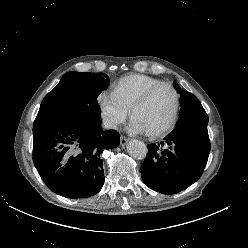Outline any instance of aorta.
Returning a JSON list of instances; mask_svg holds the SVG:
<instances>
[{"instance_id": "obj_1", "label": "aorta", "mask_w": 248, "mask_h": 248, "mask_svg": "<svg viewBox=\"0 0 248 248\" xmlns=\"http://www.w3.org/2000/svg\"><path fill=\"white\" fill-rule=\"evenodd\" d=\"M128 153L135 159H143L147 155V147L140 140H132L127 146Z\"/></svg>"}]
</instances>
